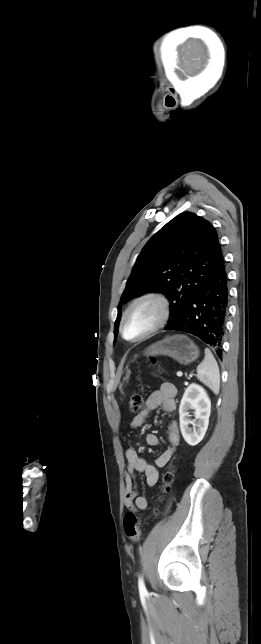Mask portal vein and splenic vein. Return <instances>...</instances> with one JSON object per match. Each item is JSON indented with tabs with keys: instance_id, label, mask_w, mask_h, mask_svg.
I'll return each mask as SVG.
<instances>
[{
	"instance_id": "18ae733b",
	"label": "portal vein and splenic vein",
	"mask_w": 261,
	"mask_h": 644,
	"mask_svg": "<svg viewBox=\"0 0 261 644\" xmlns=\"http://www.w3.org/2000/svg\"><path fill=\"white\" fill-rule=\"evenodd\" d=\"M182 375H183V373H182L181 371H178V372H177V376H178V377H181Z\"/></svg>"
}]
</instances>
